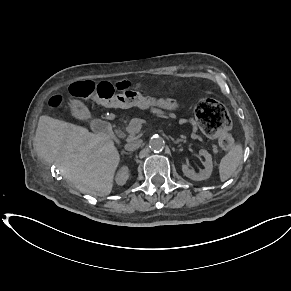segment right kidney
I'll return each mask as SVG.
<instances>
[{
	"label": "right kidney",
	"instance_id": "ca27d5eb",
	"mask_svg": "<svg viewBox=\"0 0 291 291\" xmlns=\"http://www.w3.org/2000/svg\"><path fill=\"white\" fill-rule=\"evenodd\" d=\"M129 178V170L127 166L121 167L116 175V183L118 185H124Z\"/></svg>",
	"mask_w": 291,
	"mask_h": 291
}]
</instances>
